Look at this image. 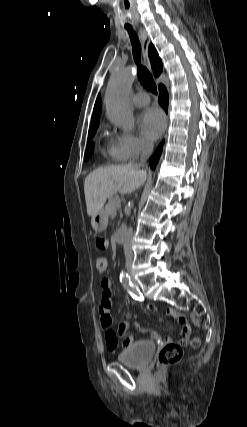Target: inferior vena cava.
<instances>
[{
    "label": "inferior vena cava",
    "instance_id": "inferior-vena-cava-1",
    "mask_svg": "<svg viewBox=\"0 0 247 427\" xmlns=\"http://www.w3.org/2000/svg\"><path fill=\"white\" fill-rule=\"evenodd\" d=\"M153 151V143L143 140L141 142V156H140V163L139 166L143 165L146 160L149 158L150 154ZM133 236V230L131 227H129L126 240L124 243V252H125V259H126V268L128 271L131 270L132 262H133V252L131 247V241Z\"/></svg>",
    "mask_w": 247,
    "mask_h": 427
}]
</instances>
